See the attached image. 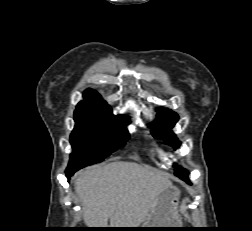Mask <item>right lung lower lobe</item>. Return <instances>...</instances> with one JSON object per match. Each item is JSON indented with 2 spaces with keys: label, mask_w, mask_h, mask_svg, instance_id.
I'll return each mask as SVG.
<instances>
[{
  "label": "right lung lower lobe",
  "mask_w": 252,
  "mask_h": 231,
  "mask_svg": "<svg viewBox=\"0 0 252 231\" xmlns=\"http://www.w3.org/2000/svg\"><path fill=\"white\" fill-rule=\"evenodd\" d=\"M77 170H79V169L78 168L67 169L66 170V176H67V178H70Z\"/></svg>",
  "instance_id": "obj_1"
}]
</instances>
